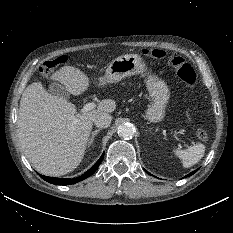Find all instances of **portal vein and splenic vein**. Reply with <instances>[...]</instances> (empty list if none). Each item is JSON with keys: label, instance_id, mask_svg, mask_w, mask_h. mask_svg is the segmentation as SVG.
Returning <instances> with one entry per match:
<instances>
[{"label": "portal vein and splenic vein", "instance_id": "obj_1", "mask_svg": "<svg viewBox=\"0 0 233 233\" xmlns=\"http://www.w3.org/2000/svg\"><path fill=\"white\" fill-rule=\"evenodd\" d=\"M96 107V104L93 103V102H89V103H86L84 105V107L81 109V112H88V111H91L93 110L94 108ZM180 134H183L182 131H179ZM176 140L179 142V144L181 145L182 141L176 136V133L174 134Z\"/></svg>", "mask_w": 233, "mask_h": 233}]
</instances>
